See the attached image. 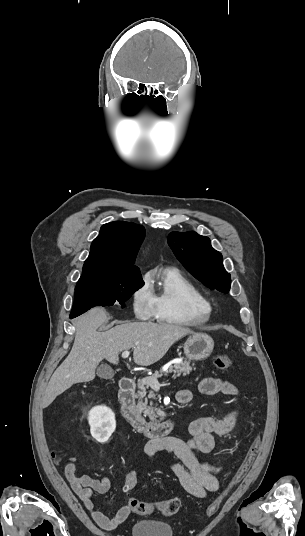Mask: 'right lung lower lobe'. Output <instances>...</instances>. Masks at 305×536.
Returning a JSON list of instances; mask_svg holds the SVG:
<instances>
[{
	"instance_id": "right-lung-lower-lobe-1",
	"label": "right lung lower lobe",
	"mask_w": 305,
	"mask_h": 536,
	"mask_svg": "<svg viewBox=\"0 0 305 536\" xmlns=\"http://www.w3.org/2000/svg\"><path fill=\"white\" fill-rule=\"evenodd\" d=\"M78 316H79V315H78ZM74 317H77V315H75V314H74V315H73V314H70V318H71V319L74 318Z\"/></svg>"
}]
</instances>
